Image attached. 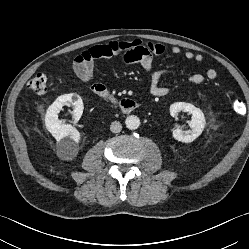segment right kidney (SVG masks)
<instances>
[{
	"label": "right kidney",
	"instance_id": "1",
	"mask_svg": "<svg viewBox=\"0 0 249 249\" xmlns=\"http://www.w3.org/2000/svg\"><path fill=\"white\" fill-rule=\"evenodd\" d=\"M74 106L73 115L76 121L83 113L84 105L78 94L70 93L59 96L47 109L45 125L47 130L58 141V152L66 160L73 159L79 150L80 133L75 127L68 124H61L58 114L64 105Z\"/></svg>",
	"mask_w": 249,
	"mask_h": 249
}]
</instances>
